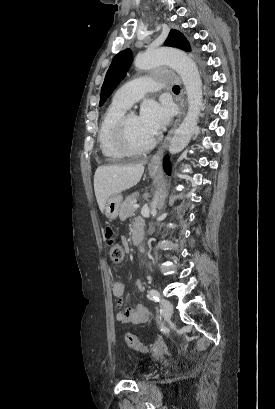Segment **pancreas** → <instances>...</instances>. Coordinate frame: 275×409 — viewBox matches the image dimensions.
I'll use <instances>...</instances> for the list:
<instances>
[{"instance_id":"obj_1","label":"pancreas","mask_w":275,"mask_h":409,"mask_svg":"<svg viewBox=\"0 0 275 409\" xmlns=\"http://www.w3.org/2000/svg\"><path fill=\"white\" fill-rule=\"evenodd\" d=\"M137 196H139L138 192H133V194H131V196H127L124 202H122V205H120L119 219H121V221H125L127 217H132V215H134L135 209H133V205Z\"/></svg>"}]
</instances>
